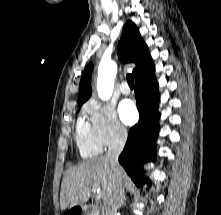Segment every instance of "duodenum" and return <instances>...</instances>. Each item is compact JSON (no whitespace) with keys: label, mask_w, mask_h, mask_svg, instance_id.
<instances>
[{"label":"duodenum","mask_w":221,"mask_h":215,"mask_svg":"<svg viewBox=\"0 0 221 215\" xmlns=\"http://www.w3.org/2000/svg\"><path fill=\"white\" fill-rule=\"evenodd\" d=\"M89 207L82 205V206H76L73 210L71 215H87Z\"/></svg>","instance_id":"1"}]
</instances>
